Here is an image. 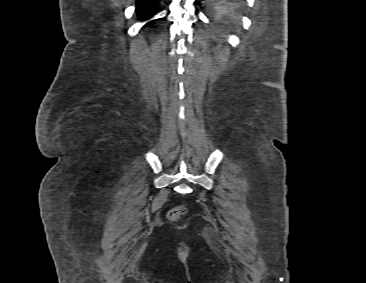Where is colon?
Instances as JSON below:
<instances>
[{
  "instance_id": "colon-1",
  "label": "colon",
  "mask_w": 366,
  "mask_h": 283,
  "mask_svg": "<svg viewBox=\"0 0 366 283\" xmlns=\"http://www.w3.org/2000/svg\"><path fill=\"white\" fill-rule=\"evenodd\" d=\"M186 213L187 209L184 206H178L170 211L169 219L172 221H176Z\"/></svg>"
}]
</instances>
